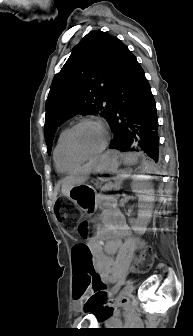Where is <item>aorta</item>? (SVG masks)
Returning a JSON list of instances; mask_svg holds the SVG:
<instances>
[{
	"mask_svg": "<svg viewBox=\"0 0 193 336\" xmlns=\"http://www.w3.org/2000/svg\"><path fill=\"white\" fill-rule=\"evenodd\" d=\"M137 144H138V142H136V141H133V142H132V144H131V147H136V146H137Z\"/></svg>",
	"mask_w": 193,
	"mask_h": 336,
	"instance_id": "762f6f07",
	"label": "aorta"
}]
</instances>
